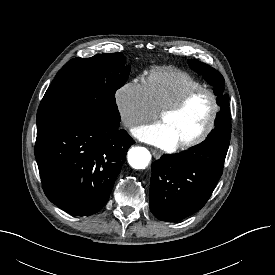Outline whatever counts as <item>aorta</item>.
Here are the masks:
<instances>
[{"label": "aorta", "mask_w": 275, "mask_h": 275, "mask_svg": "<svg viewBox=\"0 0 275 275\" xmlns=\"http://www.w3.org/2000/svg\"><path fill=\"white\" fill-rule=\"evenodd\" d=\"M128 163L134 169H145L151 160L150 152L144 147H133L128 151Z\"/></svg>", "instance_id": "obj_1"}]
</instances>
